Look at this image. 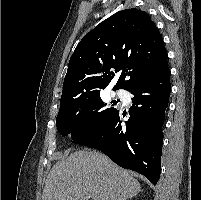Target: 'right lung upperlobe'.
<instances>
[{"instance_id": "cb5924a9", "label": "right lung upper lobe", "mask_w": 201, "mask_h": 200, "mask_svg": "<svg viewBox=\"0 0 201 200\" xmlns=\"http://www.w3.org/2000/svg\"><path fill=\"white\" fill-rule=\"evenodd\" d=\"M168 69L162 36L150 16L136 8L119 11L77 45L68 64L61 102L100 92L116 80L114 90L131 91Z\"/></svg>"}]
</instances>
